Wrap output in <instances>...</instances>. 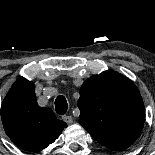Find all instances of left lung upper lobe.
<instances>
[{
  "label": "left lung upper lobe",
  "instance_id": "obj_1",
  "mask_svg": "<svg viewBox=\"0 0 155 155\" xmlns=\"http://www.w3.org/2000/svg\"><path fill=\"white\" fill-rule=\"evenodd\" d=\"M77 105L81 111L79 123L110 149H126L143 128L145 109L140 92L117 72L104 71L87 79Z\"/></svg>",
  "mask_w": 155,
  "mask_h": 155
}]
</instances>
